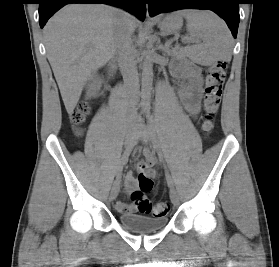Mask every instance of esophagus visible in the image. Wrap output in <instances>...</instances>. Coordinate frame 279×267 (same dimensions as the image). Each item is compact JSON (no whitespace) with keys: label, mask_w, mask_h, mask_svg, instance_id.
I'll return each instance as SVG.
<instances>
[{"label":"esophagus","mask_w":279,"mask_h":267,"mask_svg":"<svg viewBox=\"0 0 279 267\" xmlns=\"http://www.w3.org/2000/svg\"><path fill=\"white\" fill-rule=\"evenodd\" d=\"M146 10H147V17H149V13H148V5H146Z\"/></svg>","instance_id":"1"}]
</instances>
